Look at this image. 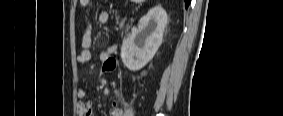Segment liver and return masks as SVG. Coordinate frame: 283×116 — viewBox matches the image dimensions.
<instances>
[{
  "instance_id": "6515ba94",
  "label": "liver",
  "mask_w": 283,
  "mask_h": 116,
  "mask_svg": "<svg viewBox=\"0 0 283 116\" xmlns=\"http://www.w3.org/2000/svg\"><path fill=\"white\" fill-rule=\"evenodd\" d=\"M135 2H142L143 0H134Z\"/></svg>"
}]
</instances>
